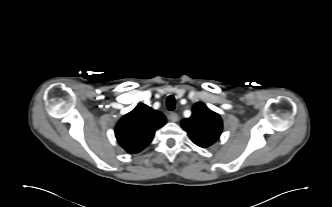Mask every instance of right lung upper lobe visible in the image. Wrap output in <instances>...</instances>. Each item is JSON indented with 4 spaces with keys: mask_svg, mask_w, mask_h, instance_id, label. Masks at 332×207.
<instances>
[{
    "mask_svg": "<svg viewBox=\"0 0 332 207\" xmlns=\"http://www.w3.org/2000/svg\"><path fill=\"white\" fill-rule=\"evenodd\" d=\"M166 123L165 116L145 104L139 103L124 115L115 127L119 144L131 154L142 151L153 139L157 129Z\"/></svg>",
    "mask_w": 332,
    "mask_h": 207,
    "instance_id": "right-lung-upper-lobe-1",
    "label": "right lung upper lobe"
}]
</instances>
